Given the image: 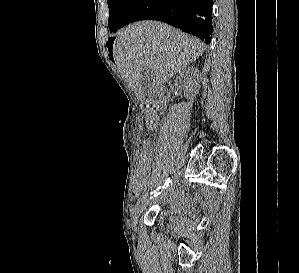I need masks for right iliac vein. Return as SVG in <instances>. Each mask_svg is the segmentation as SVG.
<instances>
[{"label":"right iliac vein","instance_id":"63e3f726","mask_svg":"<svg viewBox=\"0 0 299 273\" xmlns=\"http://www.w3.org/2000/svg\"><path fill=\"white\" fill-rule=\"evenodd\" d=\"M179 177H180V173L177 172L173 176V179H172L171 184H170L169 188L167 189V191H173L177 187V184L179 182ZM148 202H149V200L147 198H145L142 201H140L137 204V206L133 209L132 215H131V222H132L133 227L136 226L138 218H139L140 214L143 212V210L145 209Z\"/></svg>","mask_w":299,"mask_h":273}]
</instances>
